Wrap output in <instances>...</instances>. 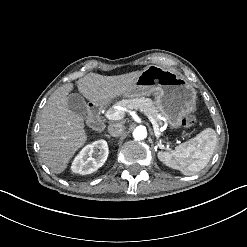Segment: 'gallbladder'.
Instances as JSON below:
<instances>
[{"mask_svg":"<svg viewBox=\"0 0 247 247\" xmlns=\"http://www.w3.org/2000/svg\"><path fill=\"white\" fill-rule=\"evenodd\" d=\"M67 105L70 111L84 117L86 115V103L82 96L72 93L68 96Z\"/></svg>","mask_w":247,"mask_h":247,"instance_id":"bac80fb5","label":"gallbladder"}]
</instances>
